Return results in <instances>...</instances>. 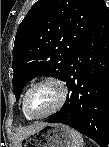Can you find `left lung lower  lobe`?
Here are the masks:
<instances>
[{
    "label": "left lung lower lobe",
    "instance_id": "obj_1",
    "mask_svg": "<svg viewBox=\"0 0 109 147\" xmlns=\"http://www.w3.org/2000/svg\"><path fill=\"white\" fill-rule=\"evenodd\" d=\"M70 95L45 122L66 124L107 147L109 141V11L106 9L72 55L64 78Z\"/></svg>",
    "mask_w": 109,
    "mask_h": 147
}]
</instances>
